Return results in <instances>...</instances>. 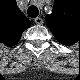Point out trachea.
I'll return each instance as SVG.
<instances>
[{
  "label": "trachea",
  "mask_w": 80,
  "mask_h": 80,
  "mask_svg": "<svg viewBox=\"0 0 80 80\" xmlns=\"http://www.w3.org/2000/svg\"><path fill=\"white\" fill-rule=\"evenodd\" d=\"M28 16L31 18H36L39 14V10L36 6L32 5L27 10Z\"/></svg>",
  "instance_id": "3493384b"
}]
</instances>
